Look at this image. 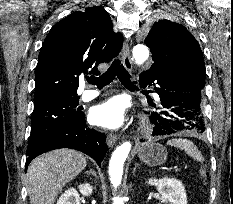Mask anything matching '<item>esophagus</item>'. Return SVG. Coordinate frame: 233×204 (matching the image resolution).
<instances>
[{"instance_id": "obj_1", "label": "esophagus", "mask_w": 233, "mask_h": 204, "mask_svg": "<svg viewBox=\"0 0 233 204\" xmlns=\"http://www.w3.org/2000/svg\"><path fill=\"white\" fill-rule=\"evenodd\" d=\"M122 62L128 71L132 70V59L130 56L129 45L127 41L124 42L122 49ZM117 139H118L117 135L111 133L108 134L106 138L107 145L109 147H112L116 143Z\"/></svg>"}]
</instances>
